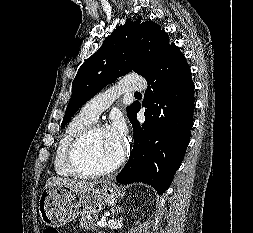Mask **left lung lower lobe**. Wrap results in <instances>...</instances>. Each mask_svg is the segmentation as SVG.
Wrapping results in <instances>:
<instances>
[{
  "label": "left lung lower lobe",
  "instance_id": "left-lung-lower-lobe-1",
  "mask_svg": "<svg viewBox=\"0 0 253 233\" xmlns=\"http://www.w3.org/2000/svg\"><path fill=\"white\" fill-rule=\"evenodd\" d=\"M145 79L148 87L142 107L146 108V120L141 125L137 121L141 105L136 103L130 118L133 150L116 181L144 182L162 194L171 184L190 141L195 87L186 59L175 44Z\"/></svg>",
  "mask_w": 253,
  "mask_h": 233
}]
</instances>
